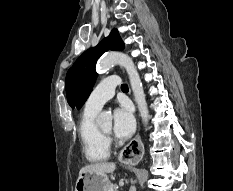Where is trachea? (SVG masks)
<instances>
[{
	"mask_svg": "<svg viewBox=\"0 0 233 191\" xmlns=\"http://www.w3.org/2000/svg\"><path fill=\"white\" fill-rule=\"evenodd\" d=\"M121 89H122V91H128V86H127V84H122V85H121Z\"/></svg>",
	"mask_w": 233,
	"mask_h": 191,
	"instance_id": "1",
	"label": "trachea"
}]
</instances>
